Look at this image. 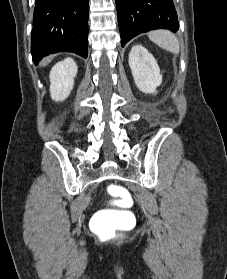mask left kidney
Instances as JSON below:
<instances>
[{"label":"left kidney","mask_w":227,"mask_h":279,"mask_svg":"<svg viewBox=\"0 0 227 279\" xmlns=\"http://www.w3.org/2000/svg\"><path fill=\"white\" fill-rule=\"evenodd\" d=\"M129 66L138 89L156 94V88L162 83V75L153 55L145 47L135 45L129 53Z\"/></svg>","instance_id":"left-kidney-1"}]
</instances>
